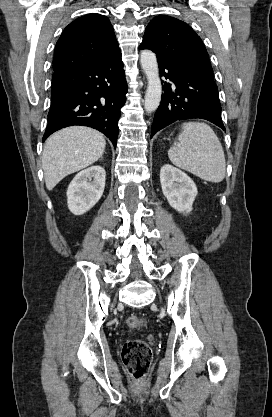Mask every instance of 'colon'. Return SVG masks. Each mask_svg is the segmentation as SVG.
Masks as SVG:
<instances>
[{"label": "colon", "mask_w": 272, "mask_h": 417, "mask_svg": "<svg viewBox=\"0 0 272 417\" xmlns=\"http://www.w3.org/2000/svg\"><path fill=\"white\" fill-rule=\"evenodd\" d=\"M126 325L131 331L140 330L145 326V320L137 315H131L127 318ZM151 358V349L142 340H129L122 348L124 367L135 380H141L146 375Z\"/></svg>", "instance_id": "obj_1"}]
</instances>
